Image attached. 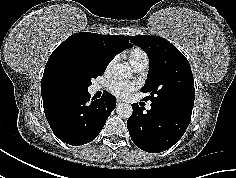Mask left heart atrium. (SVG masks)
<instances>
[{
    "instance_id": "39dd6f15",
    "label": "left heart atrium",
    "mask_w": 236,
    "mask_h": 178,
    "mask_svg": "<svg viewBox=\"0 0 236 178\" xmlns=\"http://www.w3.org/2000/svg\"><path fill=\"white\" fill-rule=\"evenodd\" d=\"M136 89V84L132 82H124L113 80L109 84V91L115 96L125 99L132 91Z\"/></svg>"
}]
</instances>
